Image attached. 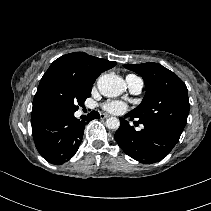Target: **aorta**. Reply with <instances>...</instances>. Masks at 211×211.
I'll use <instances>...</instances> for the list:
<instances>
[{"label":"aorta","mask_w":211,"mask_h":211,"mask_svg":"<svg viewBox=\"0 0 211 211\" xmlns=\"http://www.w3.org/2000/svg\"><path fill=\"white\" fill-rule=\"evenodd\" d=\"M99 92L105 97H117L126 90L125 81L113 74H104L97 81ZM120 121L116 117H111L106 120V127L109 129H118Z\"/></svg>","instance_id":"obj_1"}]
</instances>
